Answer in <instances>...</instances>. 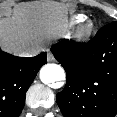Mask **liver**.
I'll use <instances>...</instances> for the list:
<instances>
[{"instance_id":"1","label":"liver","mask_w":117,"mask_h":117,"mask_svg":"<svg viewBox=\"0 0 117 117\" xmlns=\"http://www.w3.org/2000/svg\"><path fill=\"white\" fill-rule=\"evenodd\" d=\"M0 15V46L14 54L39 46L66 31V10L58 3L30 2L5 9Z\"/></svg>"}]
</instances>
